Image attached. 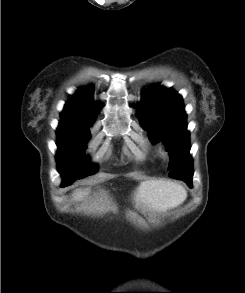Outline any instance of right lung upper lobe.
Here are the masks:
<instances>
[{"mask_svg": "<svg viewBox=\"0 0 245 293\" xmlns=\"http://www.w3.org/2000/svg\"><path fill=\"white\" fill-rule=\"evenodd\" d=\"M96 109L99 110V106H96L92 100H88L84 89H79V92L66 103L61 113L60 126L88 128L95 121Z\"/></svg>", "mask_w": 245, "mask_h": 293, "instance_id": "obj_1", "label": "right lung upper lobe"}]
</instances>
